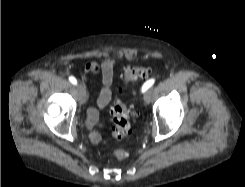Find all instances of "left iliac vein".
I'll return each instance as SVG.
<instances>
[{"instance_id": "4c4485c4", "label": "left iliac vein", "mask_w": 245, "mask_h": 187, "mask_svg": "<svg viewBox=\"0 0 245 187\" xmlns=\"http://www.w3.org/2000/svg\"><path fill=\"white\" fill-rule=\"evenodd\" d=\"M150 92L149 91H147V92H145V94H144V101L146 102V103H149V101H150Z\"/></svg>"}]
</instances>
